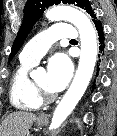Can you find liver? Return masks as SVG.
I'll use <instances>...</instances> for the list:
<instances>
[{
	"mask_svg": "<svg viewBox=\"0 0 117 136\" xmlns=\"http://www.w3.org/2000/svg\"><path fill=\"white\" fill-rule=\"evenodd\" d=\"M36 119V115L30 112H12L3 120L0 136H25Z\"/></svg>",
	"mask_w": 117,
	"mask_h": 136,
	"instance_id": "1",
	"label": "liver"
}]
</instances>
